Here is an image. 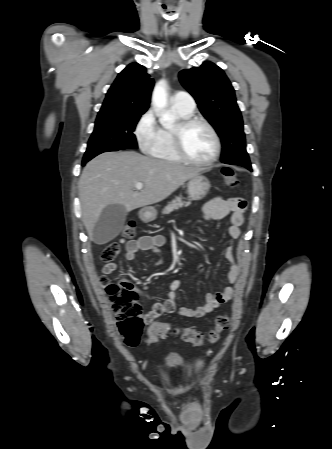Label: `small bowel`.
<instances>
[{"label":"small bowel","mask_w":332,"mask_h":449,"mask_svg":"<svg viewBox=\"0 0 332 449\" xmlns=\"http://www.w3.org/2000/svg\"><path fill=\"white\" fill-rule=\"evenodd\" d=\"M247 209L246 201L241 198H224L217 197L209 201L204 207V219L205 220H219L223 218H229L231 224L228 227V234L231 241L225 248L224 254L230 263L229 272L227 275L229 285L225 286L222 291L215 293H207L205 296L206 302L204 305L197 308L176 307V290L180 286V280L174 279L169 283V291L167 293V299L164 303H156L152 310L145 315L146 322L150 323L157 319L164 313L178 314L186 318H199L202 317L214 309L229 301L234 293L232 284L236 282L241 266L234 259L233 256V240H236L241 235L240 227L244 223V214ZM124 241L122 240V243ZM165 243V237L162 235L154 236H141L136 239H131L126 242V254L125 258L129 262H133L136 258V254L139 251H149L156 256L155 265L160 264L159 249ZM117 268L116 263H106L103 268V277L101 281L106 280V276L111 274ZM139 293L144 297L147 294L139 290Z\"/></svg>","instance_id":"c3829d8e"}]
</instances>
